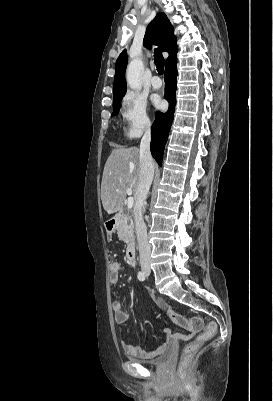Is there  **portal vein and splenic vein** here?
Here are the masks:
<instances>
[{
  "instance_id": "18ae733b",
  "label": "portal vein and splenic vein",
  "mask_w": 273,
  "mask_h": 401,
  "mask_svg": "<svg viewBox=\"0 0 273 401\" xmlns=\"http://www.w3.org/2000/svg\"><path fill=\"white\" fill-rule=\"evenodd\" d=\"M126 192H127V194H129L127 207H128V209H131V207H133V205H134V198H133V196H131L132 188H127Z\"/></svg>"
}]
</instances>
